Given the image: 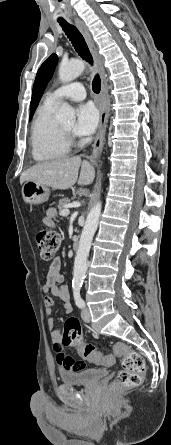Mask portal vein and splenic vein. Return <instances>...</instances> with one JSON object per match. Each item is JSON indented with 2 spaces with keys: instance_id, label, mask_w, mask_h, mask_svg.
I'll return each mask as SVG.
<instances>
[{
  "instance_id": "18ae733b",
  "label": "portal vein and splenic vein",
  "mask_w": 171,
  "mask_h": 445,
  "mask_svg": "<svg viewBox=\"0 0 171 445\" xmlns=\"http://www.w3.org/2000/svg\"><path fill=\"white\" fill-rule=\"evenodd\" d=\"M69 213H70V211L68 209H64V210L61 211V215L62 216H68Z\"/></svg>"
}]
</instances>
